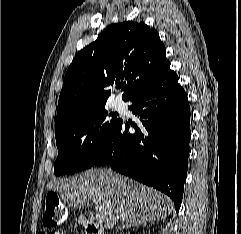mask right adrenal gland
I'll list each match as a JSON object with an SVG mask.
<instances>
[{
    "label": "right adrenal gland",
    "instance_id": "obj_1",
    "mask_svg": "<svg viewBox=\"0 0 241 234\" xmlns=\"http://www.w3.org/2000/svg\"><path fill=\"white\" fill-rule=\"evenodd\" d=\"M141 225H146V223H143ZM134 226H137V225H134V224H131V223H126L124 225H122L121 227L118 228V230H122V229H125V228H131V227H134Z\"/></svg>",
    "mask_w": 241,
    "mask_h": 234
}]
</instances>
